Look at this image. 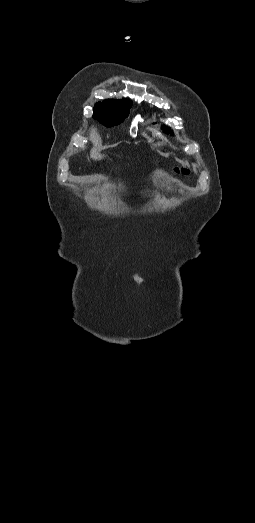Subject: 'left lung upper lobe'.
I'll use <instances>...</instances> for the list:
<instances>
[{
    "label": "left lung upper lobe",
    "instance_id": "obj_1",
    "mask_svg": "<svg viewBox=\"0 0 255 523\" xmlns=\"http://www.w3.org/2000/svg\"><path fill=\"white\" fill-rule=\"evenodd\" d=\"M166 132H167V133H171V131H170L169 128H166Z\"/></svg>",
    "mask_w": 255,
    "mask_h": 523
}]
</instances>
